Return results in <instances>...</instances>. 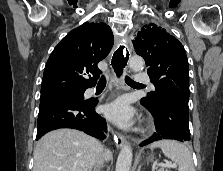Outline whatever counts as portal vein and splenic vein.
Listing matches in <instances>:
<instances>
[{"mask_svg": "<svg viewBox=\"0 0 223 171\" xmlns=\"http://www.w3.org/2000/svg\"><path fill=\"white\" fill-rule=\"evenodd\" d=\"M156 166H160V167H163V168H167V167H173L174 165H173L171 162H166V163H156V164L153 166L152 171H155Z\"/></svg>", "mask_w": 223, "mask_h": 171, "instance_id": "portal-vein-and-splenic-vein-1", "label": "portal vein and splenic vein"}]
</instances>
